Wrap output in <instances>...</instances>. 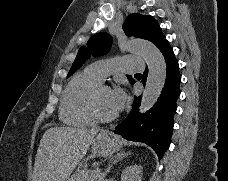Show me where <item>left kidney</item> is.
<instances>
[{
	"label": "left kidney",
	"mask_w": 228,
	"mask_h": 181,
	"mask_svg": "<svg viewBox=\"0 0 228 181\" xmlns=\"http://www.w3.org/2000/svg\"><path fill=\"white\" fill-rule=\"evenodd\" d=\"M142 167L140 165H130L126 167L121 175V181H142Z\"/></svg>",
	"instance_id": "1"
}]
</instances>
